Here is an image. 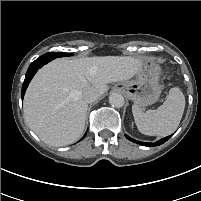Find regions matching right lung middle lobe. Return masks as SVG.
Masks as SVG:
<instances>
[{"instance_id":"dd1d6c3e","label":"right lung middle lobe","mask_w":201,"mask_h":201,"mask_svg":"<svg viewBox=\"0 0 201 201\" xmlns=\"http://www.w3.org/2000/svg\"><path fill=\"white\" fill-rule=\"evenodd\" d=\"M47 56H54L55 58L64 57V56H71V53H64V52H48L46 53Z\"/></svg>"}]
</instances>
